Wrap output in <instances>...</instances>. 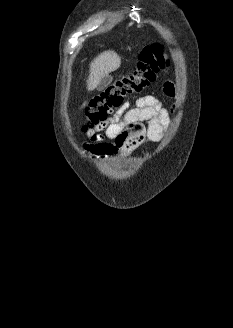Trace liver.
<instances>
[{"label": "liver", "instance_id": "obj_1", "mask_svg": "<svg viewBox=\"0 0 233 328\" xmlns=\"http://www.w3.org/2000/svg\"><path fill=\"white\" fill-rule=\"evenodd\" d=\"M121 65V58L112 50L104 51L98 55L91 63L89 76L87 79V89L92 91L97 88L100 79L112 71L117 70ZM86 103L83 104L85 106Z\"/></svg>", "mask_w": 233, "mask_h": 328}]
</instances>
